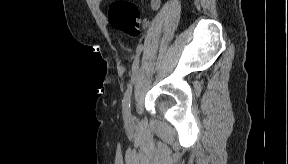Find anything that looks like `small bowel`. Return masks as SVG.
Masks as SVG:
<instances>
[{
    "label": "small bowel",
    "mask_w": 288,
    "mask_h": 164,
    "mask_svg": "<svg viewBox=\"0 0 288 164\" xmlns=\"http://www.w3.org/2000/svg\"><path fill=\"white\" fill-rule=\"evenodd\" d=\"M151 5H152L153 10H158L160 7V2L157 0H154V1H152Z\"/></svg>",
    "instance_id": "obj_1"
}]
</instances>
